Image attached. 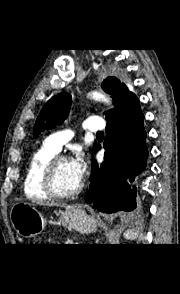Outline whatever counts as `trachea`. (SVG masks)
<instances>
[{"label": "trachea", "mask_w": 180, "mask_h": 294, "mask_svg": "<svg viewBox=\"0 0 180 294\" xmlns=\"http://www.w3.org/2000/svg\"><path fill=\"white\" fill-rule=\"evenodd\" d=\"M97 135H104V133L103 132H98Z\"/></svg>", "instance_id": "1"}]
</instances>
